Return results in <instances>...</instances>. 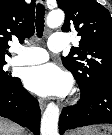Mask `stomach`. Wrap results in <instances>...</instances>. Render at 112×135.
<instances>
[{
    "label": "stomach",
    "instance_id": "obj_1",
    "mask_svg": "<svg viewBox=\"0 0 112 135\" xmlns=\"http://www.w3.org/2000/svg\"><path fill=\"white\" fill-rule=\"evenodd\" d=\"M111 134H112V126L108 125H93L69 133V135H111Z\"/></svg>",
    "mask_w": 112,
    "mask_h": 135
}]
</instances>
